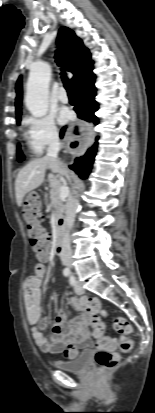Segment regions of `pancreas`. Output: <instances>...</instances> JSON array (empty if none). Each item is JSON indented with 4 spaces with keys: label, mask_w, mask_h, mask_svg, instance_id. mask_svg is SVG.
<instances>
[{
    "label": "pancreas",
    "mask_w": 155,
    "mask_h": 413,
    "mask_svg": "<svg viewBox=\"0 0 155 413\" xmlns=\"http://www.w3.org/2000/svg\"><path fill=\"white\" fill-rule=\"evenodd\" d=\"M59 192L60 184L56 183L55 186L50 189L49 207L55 209V217L57 221L63 218L66 209L64 201L59 197Z\"/></svg>",
    "instance_id": "1"
}]
</instances>
